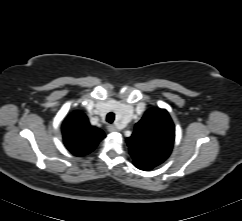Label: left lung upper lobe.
I'll list each match as a JSON object with an SVG mask.
<instances>
[{
  "label": "left lung upper lobe",
  "mask_w": 242,
  "mask_h": 221,
  "mask_svg": "<svg viewBox=\"0 0 242 221\" xmlns=\"http://www.w3.org/2000/svg\"><path fill=\"white\" fill-rule=\"evenodd\" d=\"M175 137L174 124L164 109L148 110L127 138L136 167H156L170 155Z\"/></svg>",
  "instance_id": "obj_1"
}]
</instances>
